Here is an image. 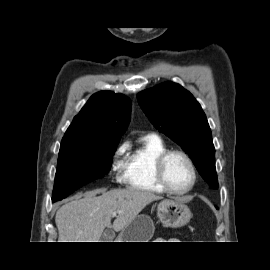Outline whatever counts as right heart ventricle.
<instances>
[{
    "instance_id": "e07e8e85",
    "label": "right heart ventricle",
    "mask_w": 270,
    "mask_h": 270,
    "mask_svg": "<svg viewBox=\"0 0 270 270\" xmlns=\"http://www.w3.org/2000/svg\"><path fill=\"white\" fill-rule=\"evenodd\" d=\"M168 148L157 135L151 134L141 138L138 146L126 159L124 181L130 189L162 194L165 190L155 176V162L158 156Z\"/></svg>"
}]
</instances>
